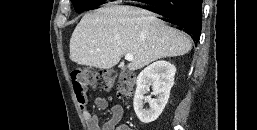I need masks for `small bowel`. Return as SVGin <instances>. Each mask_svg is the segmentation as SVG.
<instances>
[{
  "mask_svg": "<svg viewBox=\"0 0 257 130\" xmlns=\"http://www.w3.org/2000/svg\"><path fill=\"white\" fill-rule=\"evenodd\" d=\"M111 101L112 97L110 96L105 98L97 97L95 99V104L99 109L104 110L108 107ZM78 103L86 120L88 130H132L127 125L120 124L124 114V109L121 105H113L111 107L110 118L101 125L98 118L90 113L86 97L83 101L78 100Z\"/></svg>",
  "mask_w": 257,
  "mask_h": 130,
  "instance_id": "obj_1",
  "label": "small bowel"
}]
</instances>
